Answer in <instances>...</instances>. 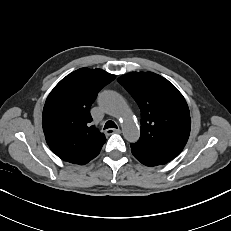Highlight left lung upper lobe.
<instances>
[{"label":"left lung upper lobe","instance_id":"left-lung-upper-lobe-1","mask_svg":"<svg viewBox=\"0 0 231 231\" xmlns=\"http://www.w3.org/2000/svg\"><path fill=\"white\" fill-rule=\"evenodd\" d=\"M118 81L141 110V136L131 145L177 156L189 138L188 105L178 89L153 72H131Z\"/></svg>","mask_w":231,"mask_h":231}]
</instances>
